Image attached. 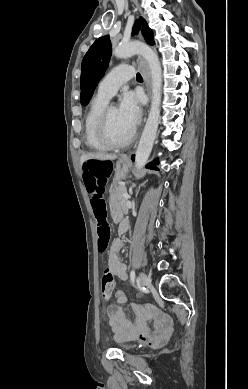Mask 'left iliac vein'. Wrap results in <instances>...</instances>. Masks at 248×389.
I'll use <instances>...</instances> for the list:
<instances>
[{
  "label": "left iliac vein",
  "instance_id": "4c4485c4",
  "mask_svg": "<svg viewBox=\"0 0 248 389\" xmlns=\"http://www.w3.org/2000/svg\"><path fill=\"white\" fill-rule=\"evenodd\" d=\"M148 283V277L144 272H141L139 275V284L140 286H146Z\"/></svg>",
  "mask_w": 248,
  "mask_h": 389
}]
</instances>
